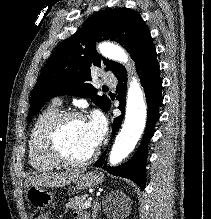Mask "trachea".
<instances>
[{"label":"trachea","mask_w":211,"mask_h":219,"mask_svg":"<svg viewBox=\"0 0 211 219\" xmlns=\"http://www.w3.org/2000/svg\"><path fill=\"white\" fill-rule=\"evenodd\" d=\"M103 89H104V90H108V87L105 86V87H103Z\"/></svg>","instance_id":"obj_1"}]
</instances>
